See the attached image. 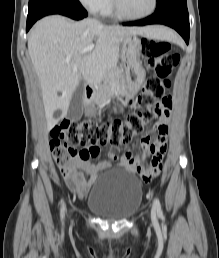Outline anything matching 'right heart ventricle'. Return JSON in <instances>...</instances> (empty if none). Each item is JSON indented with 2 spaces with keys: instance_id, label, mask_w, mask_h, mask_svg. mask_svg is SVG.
<instances>
[{
  "instance_id": "1",
  "label": "right heart ventricle",
  "mask_w": 219,
  "mask_h": 258,
  "mask_svg": "<svg viewBox=\"0 0 219 258\" xmlns=\"http://www.w3.org/2000/svg\"><path fill=\"white\" fill-rule=\"evenodd\" d=\"M102 13L104 15H112L114 13L113 6H112V1L108 0L106 6L102 10Z\"/></svg>"
}]
</instances>
